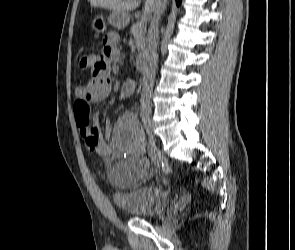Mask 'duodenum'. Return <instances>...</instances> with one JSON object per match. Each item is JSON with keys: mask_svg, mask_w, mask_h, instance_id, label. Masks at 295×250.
<instances>
[{"mask_svg": "<svg viewBox=\"0 0 295 250\" xmlns=\"http://www.w3.org/2000/svg\"><path fill=\"white\" fill-rule=\"evenodd\" d=\"M136 69L137 72L140 75H145L147 72V60L146 57L144 55H140L137 59V63H136Z\"/></svg>", "mask_w": 295, "mask_h": 250, "instance_id": "obj_1", "label": "duodenum"}]
</instances>
